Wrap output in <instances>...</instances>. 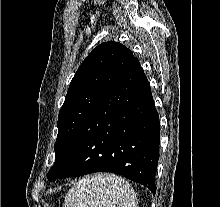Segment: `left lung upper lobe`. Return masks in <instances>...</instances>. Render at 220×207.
<instances>
[{
  "mask_svg": "<svg viewBox=\"0 0 220 207\" xmlns=\"http://www.w3.org/2000/svg\"><path fill=\"white\" fill-rule=\"evenodd\" d=\"M132 59L133 53L128 48L109 41L97 46L82 62L59 112L54 165Z\"/></svg>",
  "mask_w": 220,
  "mask_h": 207,
  "instance_id": "1",
  "label": "left lung upper lobe"
}]
</instances>
